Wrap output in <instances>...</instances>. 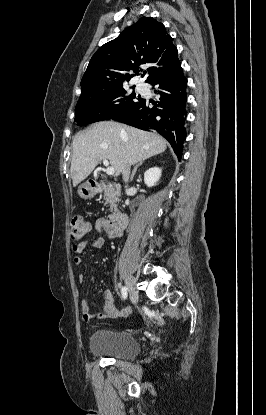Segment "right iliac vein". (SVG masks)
Returning a JSON list of instances; mask_svg holds the SVG:
<instances>
[{"label": "right iliac vein", "instance_id": "right-iliac-vein-1", "mask_svg": "<svg viewBox=\"0 0 266 415\" xmlns=\"http://www.w3.org/2000/svg\"><path fill=\"white\" fill-rule=\"evenodd\" d=\"M126 285H127V288L130 292V296H131L132 301L136 302L137 299H138V291L136 289L135 279L131 275H128L126 277Z\"/></svg>", "mask_w": 266, "mask_h": 415}]
</instances>
